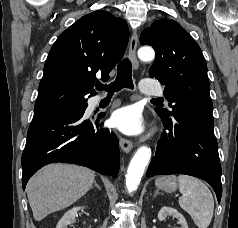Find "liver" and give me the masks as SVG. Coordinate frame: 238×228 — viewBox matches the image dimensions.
<instances>
[{
	"mask_svg": "<svg viewBox=\"0 0 238 228\" xmlns=\"http://www.w3.org/2000/svg\"><path fill=\"white\" fill-rule=\"evenodd\" d=\"M94 171L76 165L50 164L39 170L26 187L36 221L69 207L89 191Z\"/></svg>",
	"mask_w": 238,
	"mask_h": 228,
	"instance_id": "obj_1",
	"label": "liver"
}]
</instances>
